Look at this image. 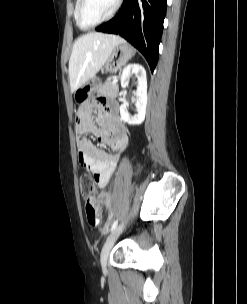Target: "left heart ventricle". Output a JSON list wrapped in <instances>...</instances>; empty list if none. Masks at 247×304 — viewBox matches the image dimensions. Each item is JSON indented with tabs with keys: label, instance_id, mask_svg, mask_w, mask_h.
Returning a JSON list of instances; mask_svg holds the SVG:
<instances>
[{
	"label": "left heart ventricle",
	"instance_id": "1",
	"mask_svg": "<svg viewBox=\"0 0 247 304\" xmlns=\"http://www.w3.org/2000/svg\"><path fill=\"white\" fill-rule=\"evenodd\" d=\"M117 0H86L82 11L83 22L93 25L107 17L115 8Z\"/></svg>",
	"mask_w": 247,
	"mask_h": 304
}]
</instances>
